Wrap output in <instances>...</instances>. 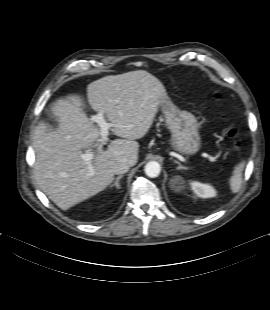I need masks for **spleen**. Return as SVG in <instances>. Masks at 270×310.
<instances>
[{
    "instance_id": "3e777b00",
    "label": "spleen",
    "mask_w": 270,
    "mask_h": 310,
    "mask_svg": "<svg viewBox=\"0 0 270 310\" xmlns=\"http://www.w3.org/2000/svg\"><path fill=\"white\" fill-rule=\"evenodd\" d=\"M245 161H241L239 164H237L234 167L232 176L230 177L229 183L230 188L233 193H236L239 191L241 184H242V171L245 167Z\"/></svg>"
}]
</instances>
